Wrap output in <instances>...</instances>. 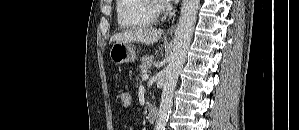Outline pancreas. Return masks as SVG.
Instances as JSON below:
<instances>
[{"mask_svg":"<svg viewBox=\"0 0 299 130\" xmlns=\"http://www.w3.org/2000/svg\"><path fill=\"white\" fill-rule=\"evenodd\" d=\"M154 57L151 55H145L141 59V65H140V72L142 74H146L150 67L153 64Z\"/></svg>","mask_w":299,"mask_h":130,"instance_id":"pancreas-1","label":"pancreas"}]
</instances>
